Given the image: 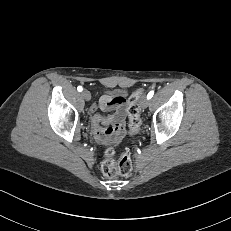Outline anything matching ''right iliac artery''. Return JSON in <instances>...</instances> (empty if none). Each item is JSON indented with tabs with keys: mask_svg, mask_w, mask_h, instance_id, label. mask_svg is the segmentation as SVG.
Returning <instances> with one entry per match:
<instances>
[{
	"mask_svg": "<svg viewBox=\"0 0 231 231\" xmlns=\"http://www.w3.org/2000/svg\"><path fill=\"white\" fill-rule=\"evenodd\" d=\"M77 90H78L79 92H81V91L83 90V88H82L81 86H78V87H77Z\"/></svg>",
	"mask_w": 231,
	"mask_h": 231,
	"instance_id": "right-iliac-artery-1",
	"label": "right iliac artery"
}]
</instances>
